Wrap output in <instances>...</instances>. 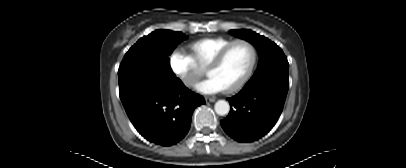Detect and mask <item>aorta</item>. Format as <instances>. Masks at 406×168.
Here are the masks:
<instances>
[{
	"label": "aorta",
	"mask_w": 406,
	"mask_h": 168,
	"mask_svg": "<svg viewBox=\"0 0 406 168\" xmlns=\"http://www.w3.org/2000/svg\"><path fill=\"white\" fill-rule=\"evenodd\" d=\"M214 109L218 115L223 116L229 113L230 105L225 100H218L214 105Z\"/></svg>",
	"instance_id": "1"
}]
</instances>
